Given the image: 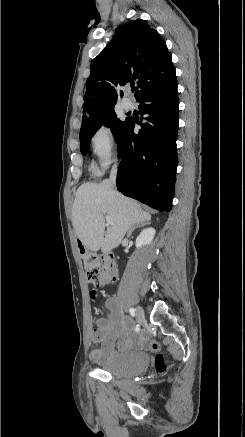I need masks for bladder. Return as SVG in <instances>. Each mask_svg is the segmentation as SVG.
<instances>
[{
	"mask_svg": "<svg viewBox=\"0 0 245 437\" xmlns=\"http://www.w3.org/2000/svg\"><path fill=\"white\" fill-rule=\"evenodd\" d=\"M148 361V354L144 351L120 350L105 360L100 368L115 377L132 378L147 368Z\"/></svg>",
	"mask_w": 245,
	"mask_h": 437,
	"instance_id": "1",
	"label": "bladder"
}]
</instances>
